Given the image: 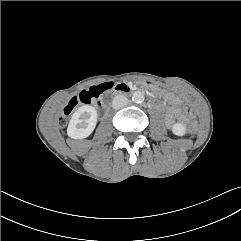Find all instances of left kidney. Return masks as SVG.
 Wrapping results in <instances>:
<instances>
[{
	"mask_svg": "<svg viewBox=\"0 0 241 241\" xmlns=\"http://www.w3.org/2000/svg\"><path fill=\"white\" fill-rule=\"evenodd\" d=\"M186 131V126L183 123L178 122L172 126V132L177 136H184Z\"/></svg>",
	"mask_w": 241,
	"mask_h": 241,
	"instance_id": "left-kidney-1",
	"label": "left kidney"
}]
</instances>
